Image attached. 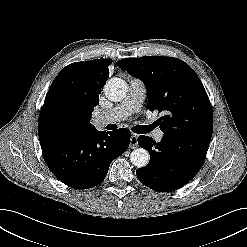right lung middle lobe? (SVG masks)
<instances>
[{
  "instance_id": "obj_1",
  "label": "right lung middle lobe",
  "mask_w": 247,
  "mask_h": 247,
  "mask_svg": "<svg viewBox=\"0 0 247 247\" xmlns=\"http://www.w3.org/2000/svg\"><path fill=\"white\" fill-rule=\"evenodd\" d=\"M78 116L77 101L73 96L71 73H63L46 97L39 123L55 130L70 132Z\"/></svg>"
}]
</instances>
